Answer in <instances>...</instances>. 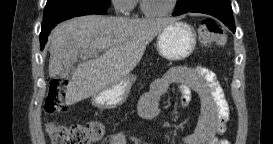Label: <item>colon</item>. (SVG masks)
Segmentation results:
<instances>
[{"label":"colon","instance_id":"1","mask_svg":"<svg viewBox=\"0 0 273 144\" xmlns=\"http://www.w3.org/2000/svg\"><path fill=\"white\" fill-rule=\"evenodd\" d=\"M200 36L206 45H214L224 40L219 24L210 18L203 19L200 25ZM67 80L56 79L50 83L44 109L48 115L61 114L65 111L64 97L66 94ZM47 132L54 144H91L99 141L105 127L102 123L94 121L86 125H59L51 122Z\"/></svg>","mask_w":273,"mask_h":144}]
</instances>
